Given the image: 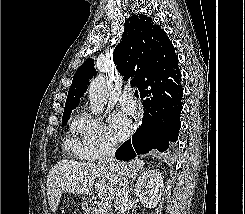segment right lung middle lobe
I'll return each mask as SVG.
<instances>
[{"instance_id": "1", "label": "right lung middle lobe", "mask_w": 245, "mask_h": 214, "mask_svg": "<svg viewBox=\"0 0 245 214\" xmlns=\"http://www.w3.org/2000/svg\"><path fill=\"white\" fill-rule=\"evenodd\" d=\"M71 116V113L69 114H63V117H62V127L66 125L68 119L70 118Z\"/></svg>"}]
</instances>
